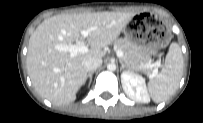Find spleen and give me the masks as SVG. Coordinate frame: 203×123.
Returning <instances> with one entry per match:
<instances>
[{"label":"spleen","mask_w":203,"mask_h":123,"mask_svg":"<svg viewBox=\"0 0 203 123\" xmlns=\"http://www.w3.org/2000/svg\"><path fill=\"white\" fill-rule=\"evenodd\" d=\"M183 68L184 61L180 46L172 43L161 73L148 83V91L154 102L165 101L175 93L183 75Z\"/></svg>","instance_id":"spleen-1"}]
</instances>
